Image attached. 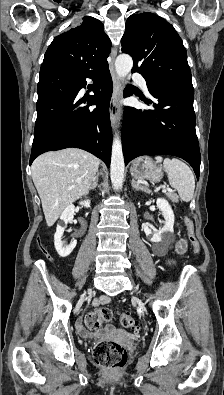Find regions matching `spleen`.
<instances>
[{"instance_id":"1","label":"spleen","mask_w":224,"mask_h":395,"mask_svg":"<svg viewBox=\"0 0 224 395\" xmlns=\"http://www.w3.org/2000/svg\"><path fill=\"white\" fill-rule=\"evenodd\" d=\"M155 159L157 162L163 161L171 187L178 191L181 200L189 202L195 189V179L191 169L177 158L163 160L161 156H157Z\"/></svg>"}]
</instances>
